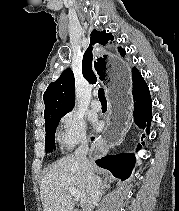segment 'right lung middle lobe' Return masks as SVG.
<instances>
[{"label": "right lung middle lobe", "mask_w": 179, "mask_h": 211, "mask_svg": "<svg viewBox=\"0 0 179 211\" xmlns=\"http://www.w3.org/2000/svg\"><path fill=\"white\" fill-rule=\"evenodd\" d=\"M63 116L64 115L55 116L45 122V130H46L45 149H46V152H51L53 149H55L54 135H55L56 127H57L60 119Z\"/></svg>", "instance_id": "right-lung-middle-lobe-1"}]
</instances>
